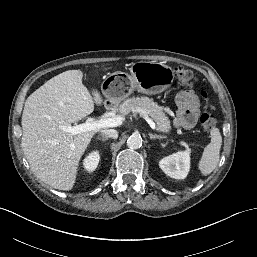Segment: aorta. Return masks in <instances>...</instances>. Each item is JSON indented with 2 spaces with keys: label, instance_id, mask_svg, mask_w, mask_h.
<instances>
[{
  "label": "aorta",
  "instance_id": "aorta-1",
  "mask_svg": "<svg viewBox=\"0 0 257 257\" xmlns=\"http://www.w3.org/2000/svg\"><path fill=\"white\" fill-rule=\"evenodd\" d=\"M130 149H138L142 146V138L138 135H131L127 140Z\"/></svg>",
  "mask_w": 257,
  "mask_h": 257
}]
</instances>
